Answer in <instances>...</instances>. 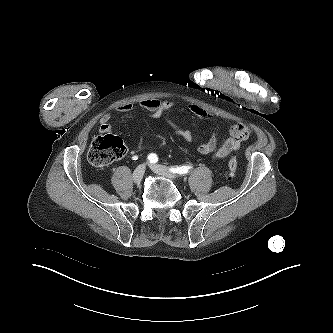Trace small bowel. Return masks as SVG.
Masks as SVG:
<instances>
[{
	"label": "small bowel",
	"mask_w": 333,
	"mask_h": 333,
	"mask_svg": "<svg viewBox=\"0 0 333 333\" xmlns=\"http://www.w3.org/2000/svg\"><path fill=\"white\" fill-rule=\"evenodd\" d=\"M140 107L149 112L148 118L155 120L162 117L166 112L174 108L175 103L172 100H160L157 98H147L139 103ZM133 109V105L130 103L120 105L116 108L119 113H127ZM189 110L192 114L200 119L213 122V116L204 108L197 104H190ZM112 115L110 113L104 114L100 119L99 132L106 134L113 131V126L110 124ZM168 123L173 128V134L184 139L185 141H191L193 139V133L188 128H184L178 125L171 119H168ZM229 137L226 138L220 146H218V139L213 132L207 140L198 145V152L201 155H212L214 159L224 158L231 153H235L240 150L242 144L247 141L251 136L250 128L242 123L233 124L229 128Z\"/></svg>",
	"instance_id": "obj_1"
}]
</instances>
